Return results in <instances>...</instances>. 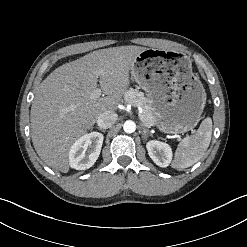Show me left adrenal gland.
I'll use <instances>...</instances> for the list:
<instances>
[{
	"label": "left adrenal gland",
	"instance_id": "1",
	"mask_svg": "<svg viewBox=\"0 0 247 247\" xmlns=\"http://www.w3.org/2000/svg\"><path fill=\"white\" fill-rule=\"evenodd\" d=\"M141 128H142V137L144 138V140L147 138L148 135L152 136L150 131L143 124H141Z\"/></svg>",
	"mask_w": 247,
	"mask_h": 247
}]
</instances>
